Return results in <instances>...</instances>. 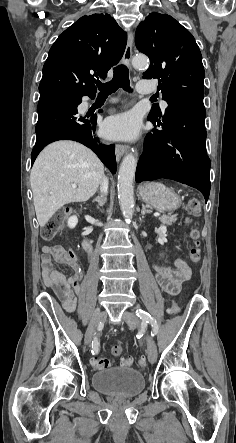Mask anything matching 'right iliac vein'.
<instances>
[{
	"label": "right iliac vein",
	"instance_id": "63e3f726",
	"mask_svg": "<svg viewBox=\"0 0 236 443\" xmlns=\"http://www.w3.org/2000/svg\"><path fill=\"white\" fill-rule=\"evenodd\" d=\"M107 317V312L103 311L101 312L97 317H94L91 322L89 323L86 332H85V337H84V342L85 344L89 345L92 341L93 338V334L96 330V327L98 325V323L102 320H104Z\"/></svg>",
	"mask_w": 236,
	"mask_h": 443
}]
</instances>
